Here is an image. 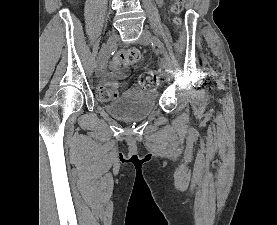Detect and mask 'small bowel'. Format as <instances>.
<instances>
[{"label":"small bowel","mask_w":277,"mask_h":225,"mask_svg":"<svg viewBox=\"0 0 277 225\" xmlns=\"http://www.w3.org/2000/svg\"><path fill=\"white\" fill-rule=\"evenodd\" d=\"M116 68H117V67L114 66V69H116ZM98 73H99V75H100L101 77H105V76L107 75L105 65H104V66H101V67L99 68ZM117 76H118V77H122V76H123V73H122V72H118V73H117Z\"/></svg>","instance_id":"c3829d8e"}]
</instances>
